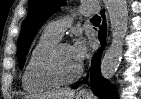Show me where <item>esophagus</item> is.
<instances>
[{"label": "esophagus", "instance_id": "obj_1", "mask_svg": "<svg viewBox=\"0 0 141 99\" xmlns=\"http://www.w3.org/2000/svg\"><path fill=\"white\" fill-rule=\"evenodd\" d=\"M107 12H105V21L107 22ZM79 95H87V94H89V90H88V88H86V87H82L80 90H79V93H78Z\"/></svg>", "mask_w": 141, "mask_h": 99}]
</instances>
